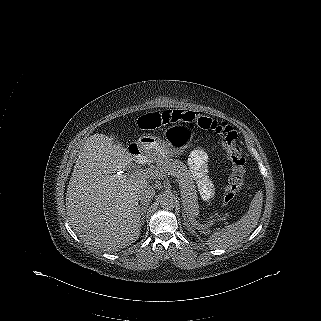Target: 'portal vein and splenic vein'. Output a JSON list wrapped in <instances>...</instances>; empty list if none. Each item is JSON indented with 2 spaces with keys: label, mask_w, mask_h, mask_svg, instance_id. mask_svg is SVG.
<instances>
[{
  "label": "portal vein and splenic vein",
  "mask_w": 321,
  "mask_h": 321,
  "mask_svg": "<svg viewBox=\"0 0 321 321\" xmlns=\"http://www.w3.org/2000/svg\"><path fill=\"white\" fill-rule=\"evenodd\" d=\"M132 175L133 176L143 177V178H148V177L161 178V177L164 176L159 171L152 170V169L136 171Z\"/></svg>",
  "instance_id": "18ae733b"
}]
</instances>
